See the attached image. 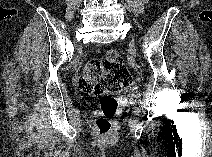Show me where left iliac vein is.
I'll return each mask as SVG.
<instances>
[{
  "instance_id": "4c4485c4",
  "label": "left iliac vein",
  "mask_w": 212,
  "mask_h": 157,
  "mask_svg": "<svg viewBox=\"0 0 212 157\" xmlns=\"http://www.w3.org/2000/svg\"><path fill=\"white\" fill-rule=\"evenodd\" d=\"M130 47L135 52V46H134V44L132 42L130 43Z\"/></svg>"
}]
</instances>
